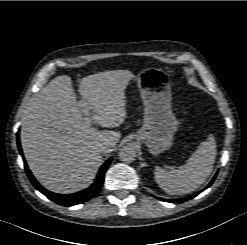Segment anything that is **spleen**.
<instances>
[{
  "mask_svg": "<svg viewBox=\"0 0 247 245\" xmlns=\"http://www.w3.org/2000/svg\"><path fill=\"white\" fill-rule=\"evenodd\" d=\"M216 158L213 135L202 142L186 164L176 170L155 168V180L159 187L171 195H184L199 188L212 172Z\"/></svg>",
  "mask_w": 247,
  "mask_h": 245,
  "instance_id": "3e777b00",
  "label": "spleen"
}]
</instances>
